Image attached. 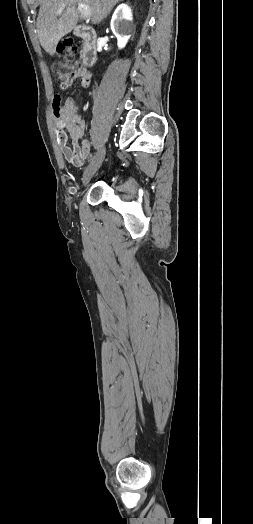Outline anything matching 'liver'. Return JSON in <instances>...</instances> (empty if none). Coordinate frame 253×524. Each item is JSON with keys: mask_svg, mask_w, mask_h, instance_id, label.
Instances as JSON below:
<instances>
[{"mask_svg": "<svg viewBox=\"0 0 253 524\" xmlns=\"http://www.w3.org/2000/svg\"><path fill=\"white\" fill-rule=\"evenodd\" d=\"M121 0H41L37 17V35L44 50L53 55L60 39L77 25L76 4L90 7L92 24H99ZM64 8L61 10V8ZM61 10V11H60Z\"/></svg>", "mask_w": 253, "mask_h": 524, "instance_id": "6515ba94", "label": "liver"}]
</instances>
